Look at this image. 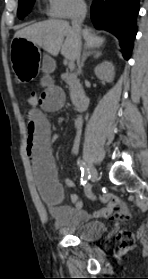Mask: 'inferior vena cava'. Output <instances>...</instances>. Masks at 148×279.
Segmentation results:
<instances>
[{"instance_id": "602c4592", "label": "inferior vena cava", "mask_w": 148, "mask_h": 279, "mask_svg": "<svg viewBox=\"0 0 148 279\" xmlns=\"http://www.w3.org/2000/svg\"><path fill=\"white\" fill-rule=\"evenodd\" d=\"M87 14L86 5H79L72 19V30L76 36V59L78 67L80 68V54H81V26Z\"/></svg>"}]
</instances>
